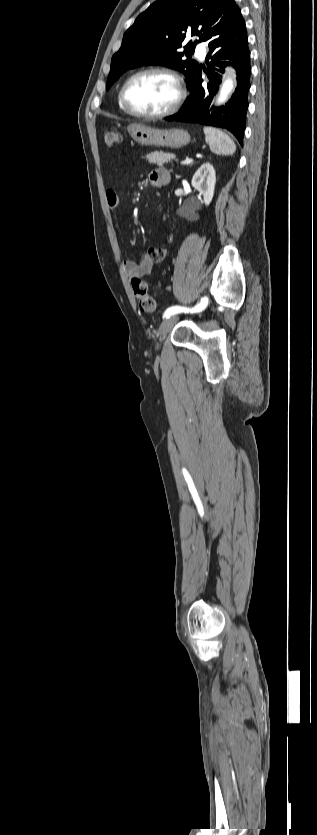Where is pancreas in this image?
<instances>
[{"label": "pancreas", "instance_id": "cf45deb5", "mask_svg": "<svg viewBox=\"0 0 317 835\" xmlns=\"http://www.w3.org/2000/svg\"><path fill=\"white\" fill-rule=\"evenodd\" d=\"M146 159L150 164H156L158 166H163L165 163L170 162L171 160L175 159V155L172 153H163L159 151H154L146 155Z\"/></svg>", "mask_w": 317, "mask_h": 835}]
</instances>
